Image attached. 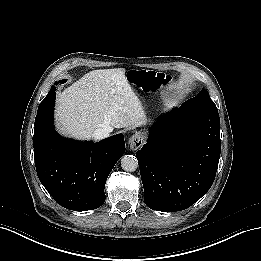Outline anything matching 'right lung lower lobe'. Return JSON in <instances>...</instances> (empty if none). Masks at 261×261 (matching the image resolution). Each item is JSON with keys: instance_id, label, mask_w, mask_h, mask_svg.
I'll list each match as a JSON object with an SVG mask.
<instances>
[{"instance_id": "98d812e1", "label": "right lung lower lobe", "mask_w": 261, "mask_h": 261, "mask_svg": "<svg viewBox=\"0 0 261 261\" xmlns=\"http://www.w3.org/2000/svg\"><path fill=\"white\" fill-rule=\"evenodd\" d=\"M56 88L40 103L35 118L34 158L38 177L61 206L87 211L105 202L104 187L116 162L125 152L124 136L98 143L62 138L53 126Z\"/></svg>"}]
</instances>
